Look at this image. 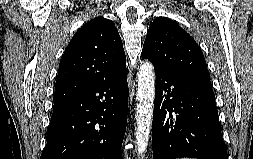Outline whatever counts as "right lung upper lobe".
Segmentation results:
<instances>
[{
	"label": "right lung upper lobe",
	"instance_id": "right-lung-upper-lobe-1",
	"mask_svg": "<svg viewBox=\"0 0 253 159\" xmlns=\"http://www.w3.org/2000/svg\"><path fill=\"white\" fill-rule=\"evenodd\" d=\"M125 69V53L115 24L101 16L92 19L76 32L61 58L54 105L66 103Z\"/></svg>",
	"mask_w": 253,
	"mask_h": 159
}]
</instances>
